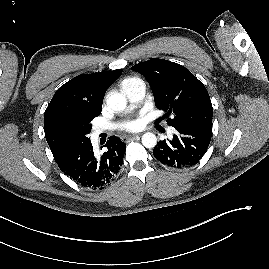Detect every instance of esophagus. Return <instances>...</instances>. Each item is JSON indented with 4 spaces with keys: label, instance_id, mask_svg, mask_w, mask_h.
<instances>
[{
    "label": "esophagus",
    "instance_id": "esophagus-1",
    "mask_svg": "<svg viewBox=\"0 0 269 269\" xmlns=\"http://www.w3.org/2000/svg\"><path fill=\"white\" fill-rule=\"evenodd\" d=\"M139 139V135H130V136H125L122 140L124 142H128L130 140H136Z\"/></svg>",
    "mask_w": 269,
    "mask_h": 269
}]
</instances>
